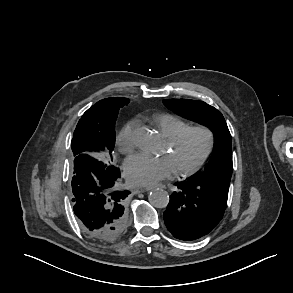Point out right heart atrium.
<instances>
[{
    "label": "right heart atrium",
    "instance_id": "obj_1",
    "mask_svg": "<svg viewBox=\"0 0 293 293\" xmlns=\"http://www.w3.org/2000/svg\"><path fill=\"white\" fill-rule=\"evenodd\" d=\"M138 125L137 120L128 121L119 131L116 137V145L120 153L129 154L135 147L134 131Z\"/></svg>",
    "mask_w": 293,
    "mask_h": 293
}]
</instances>
